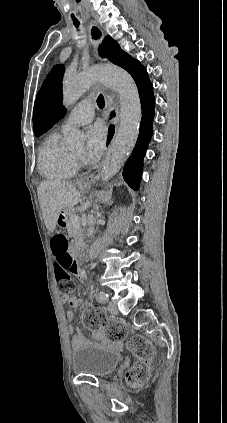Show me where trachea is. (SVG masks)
<instances>
[{
    "label": "trachea",
    "mask_w": 227,
    "mask_h": 423,
    "mask_svg": "<svg viewBox=\"0 0 227 423\" xmlns=\"http://www.w3.org/2000/svg\"><path fill=\"white\" fill-rule=\"evenodd\" d=\"M74 25L76 28L79 27V21L77 19H73ZM97 104L99 108H103L105 106V100L103 95L100 93L99 97L97 98Z\"/></svg>",
    "instance_id": "1"
}]
</instances>
